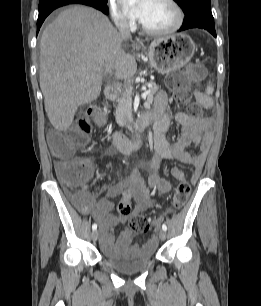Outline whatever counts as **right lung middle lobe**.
Instances as JSON below:
<instances>
[{
    "label": "right lung middle lobe",
    "mask_w": 261,
    "mask_h": 306,
    "mask_svg": "<svg viewBox=\"0 0 261 306\" xmlns=\"http://www.w3.org/2000/svg\"><path fill=\"white\" fill-rule=\"evenodd\" d=\"M92 1L103 4V5L107 4V0H92Z\"/></svg>",
    "instance_id": "obj_1"
}]
</instances>
